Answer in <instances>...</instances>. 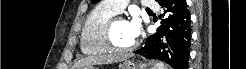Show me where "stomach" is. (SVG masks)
<instances>
[{"label":"stomach","instance_id":"obj_1","mask_svg":"<svg viewBox=\"0 0 246 69\" xmlns=\"http://www.w3.org/2000/svg\"><path fill=\"white\" fill-rule=\"evenodd\" d=\"M81 69H94L93 66L83 67ZM119 69H146V64L144 63H137L131 60H125Z\"/></svg>","mask_w":246,"mask_h":69}]
</instances>
